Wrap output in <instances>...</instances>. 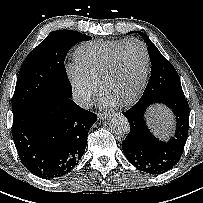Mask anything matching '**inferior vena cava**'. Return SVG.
Wrapping results in <instances>:
<instances>
[{
  "mask_svg": "<svg viewBox=\"0 0 203 203\" xmlns=\"http://www.w3.org/2000/svg\"><path fill=\"white\" fill-rule=\"evenodd\" d=\"M73 99L80 107L89 108L92 105L90 95L86 92L75 93Z\"/></svg>",
  "mask_w": 203,
  "mask_h": 203,
  "instance_id": "602c4592",
  "label": "inferior vena cava"
}]
</instances>
